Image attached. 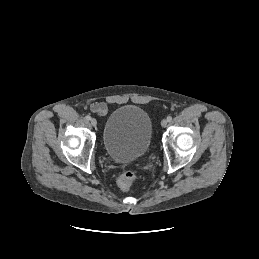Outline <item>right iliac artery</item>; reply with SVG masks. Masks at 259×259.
Wrapping results in <instances>:
<instances>
[{"instance_id":"1","label":"right iliac artery","mask_w":259,"mask_h":259,"mask_svg":"<svg viewBox=\"0 0 259 259\" xmlns=\"http://www.w3.org/2000/svg\"><path fill=\"white\" fill-rule=\"evenodd\" d=\"M87 120H91V117L89 115L86 116Z\"/></svg>"}]
</instances>
